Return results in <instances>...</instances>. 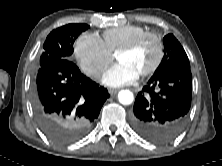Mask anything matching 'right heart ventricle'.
<instances>
[{
	"label": "right heart ventricle",
	"instance_id": "1",
	"mask_svg": "<svg viewBox=\"0 0 222 166\" xmlns=\"http://www.w3.org/2000/svg\"><path fill=\"white\" fill-rule=\"evenodd\" d=\"M147 32L145 28L136 25H124L107 29L102 34V41L111 54L128 44L135 37Z\"/></svg>",
	"mask_w": 222,
	"mask_h": 166
}]
</instances>
